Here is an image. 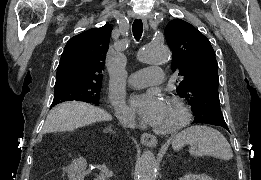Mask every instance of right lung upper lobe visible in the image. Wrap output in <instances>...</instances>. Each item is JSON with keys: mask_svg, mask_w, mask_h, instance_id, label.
Instances as JSON below:
<instances>
[{"mask_svg": "<svg viewBox=\"0 0 261 180\" xmlns=\"http://www.w3.org/2000/svg\"><path fill=\"white\" fill-rule=\"evenodd\" d=\"M112 27L104 25L71 38L57 68L56 84L65 82L101 83Z\"/></svg>", "mask_w": 261, "mask_h": 180, "instance_id": "cb5924a9", "label": "right lung upper lobe"}]
</instances>
